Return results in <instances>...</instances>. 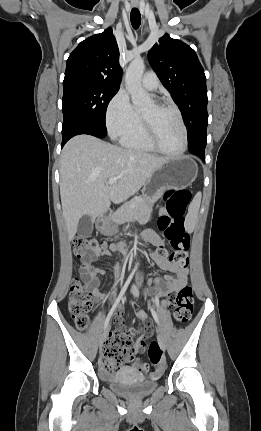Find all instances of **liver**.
Returning a JSON list of instances; mask_svg holds the SVG:
<instances>
[{
	"mask_svg": "<svg viewBox=\"0 0 261 431\" xmlns=\"http://www.w3.org/2000/svg\"><path fill=\"white\" fill-rule=\"evenodd\" d=\"M166 160L90 135L70 139L62 150L60 165V196L69 240L83 216L94 220L111 202L119 204L136 194ZM110 177H118L113 185H108Z\"/></svg>",
	"mask_w": 261,
	"mask_h": 431,
	"instance_id": "6515ba94",
	"label": "liver"
}]
</instances>
